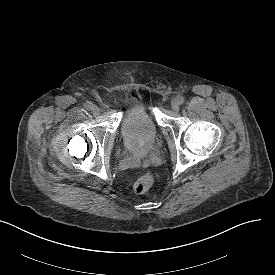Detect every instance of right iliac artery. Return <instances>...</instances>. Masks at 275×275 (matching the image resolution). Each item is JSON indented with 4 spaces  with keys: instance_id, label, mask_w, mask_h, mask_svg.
I'll use <instances>...</instances> for the list:
<instances>
[{
    "instance_id": "obj_1",
    "label": "right iliac artery",
    "mask_w": 275,
    "mask_h": 275,
    "mask_svg": "<svg viewBox=\"0 0 275 275\" xmlns=\"http://www.w3.org/2000/svg\"><path fill=\"white\" fill-rule=\"evenodd\" d=\"M92 106H93V104H92L91 102H87V103L85 104V108H86L87 110H92Z\"/></svg>"
}]
</instances>
